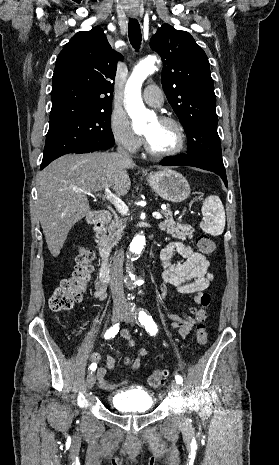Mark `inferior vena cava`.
<instances>
[{
  "instance_id": "obj_1",
  "label": "inferior vena cava",
  "mask_w": 279,
  "mask_h": 465,
  "mask_svg": "<svg viewBox=\"0 0 279 465\" xmlns=\"http://www.w3.org/2000/svg\"><path fill=\"white\" fill-rule=\"evenodd\" d=\"M115 155L122 157L126 160H131L130 155L124 151L122 147L117 148V152ZM123 261H124V251L121 248L117 255L115 256L113 263L110 268V275H111V292L113 296V300L115 303L124 302L125 301V294L123 288Z\"/></svg>"
}]
</instances>
